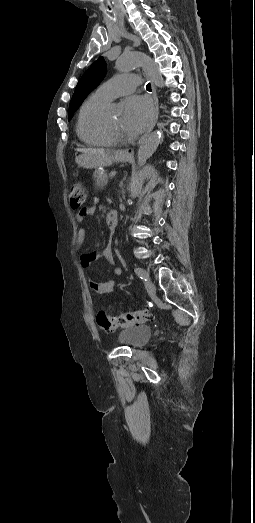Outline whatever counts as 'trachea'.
I'll return each mask as SVG.
<instances>
[{"label":"trachea","mask_w":255,"mask_h":523,"mask_svg":"<svg viewBox=\"0 0 255 523\" xmlns=\"http://www.w3.org/2000/svg\"><path fill=\"white\" fill-rule=\"evenodd\" d=\"M146 90H148V92L152 91V87H151L150 83H147Z\"/></svg>","instance_id":"1"}]
</instances>
